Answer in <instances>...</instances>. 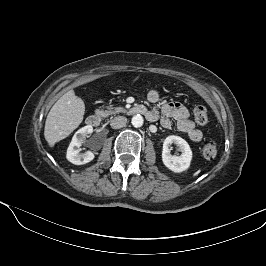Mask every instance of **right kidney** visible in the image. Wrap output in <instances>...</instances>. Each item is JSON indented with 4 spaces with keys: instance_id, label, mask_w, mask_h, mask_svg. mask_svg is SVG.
I'll return each mask as SVG.
<instances>
[{
    "instance_id": "ca27d5eb",
    "label": "right kidney",
    "mask_w": 266,
    "mask_h": 266,
    "mask_svg": "<svg viewBox=\"0 0 266 266\" xmlns=\"http://www.w3.org/2000/svg\"><path fill=\"white\" fill-rule=\"evenodd\" d=\"M93 132V127L87 125L79 129L73 136L72 141L67 149L66 158L75 165L86 164L94 159L91 151L80 153V146L84 143L86 137Z\"/></svg>"
}]
</instances>
